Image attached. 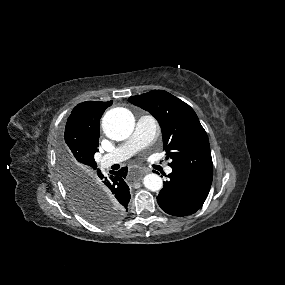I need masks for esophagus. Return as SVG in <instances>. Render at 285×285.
Wrapping results in <instances>:
<instances>
[{"mask_svg":"<svg viewBox=\"0 0 285 285\" xmlns=\"http://www.w3.org/2000/svg\"><path fill=\"white\" fill-rule=\"evenodd\" d=\"M141 174H147V173H150V169L148 168H141Z\"/></svg>","mask_w":285,"mask_h":285,"instance_id":"esophagus-1","label":"esophagus"}]
</instances>
